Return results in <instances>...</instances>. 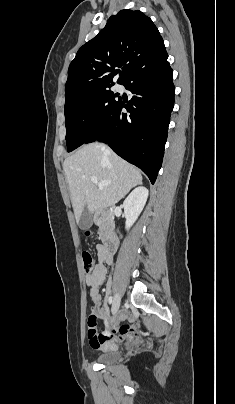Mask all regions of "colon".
<instances>
[{
	"label": "colon",
	"mask_w": 235,
	"mask_h": 404,
	"mask_svg": "<svg viewBox=\"0 0 235 404\" xmlns=\"http://www.w3.org/2000/svg\"><path fill=\"white\" fill-rule=\"evenodd\" d=\"M88 235H91V233L88 232ZM82 262L85 272L87 274L90 273L94 267V257L89 251L85 250L82 252ZM97 322L98 317L96 314L93 313L88 317V329L91 333L96 332Z\"/></svg>",
	"instance_id": "obj_1"
}]
</instances>
